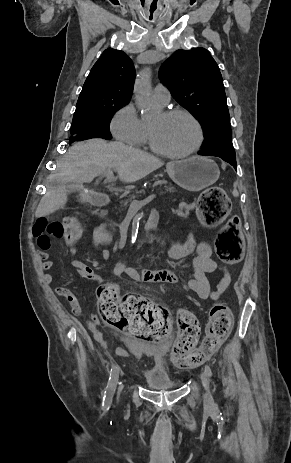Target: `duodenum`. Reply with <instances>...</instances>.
I'll return each mask as SVG.
<instances>
[{
	"label": "duodenum",
	"mask_w": 291,
	"mask_h": 463,
	"mask_svg": "<svg viewBox=\"0 0 291 463\" xmlns=\"http://www.w3.org/2000/svg\"><path fill=\"white\" fill-rule=\"evenodd\" d=\"M109 196L106 192L102 190H94L89 195V202L93 205L97 206H104L108 203ZM156 219L155 217H151L147 222V230L151 232L152 228H155Z\"/></svg>",
	"instance_id": "410a0bca"
}]
</instances>
